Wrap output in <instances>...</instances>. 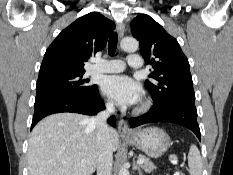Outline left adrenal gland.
Instances as JSON below:
<instances>
[{
	"label": "left adrenal gland",
	"mask_w": 233,
	"mask_h": 175,
	"mask_svg": "<svg viewBox=\"0 0 233 175\" xmlns=\"http://www.w3.org/2000/svg\"><path fill=\"white\" fill-rule=\"evenodd\" d=\"M133 170H137L139 175H143L142 169L140 166L134 163Z\"/></svg>",
	"instance_id": "left-adrenal-gland-1"
}]
</instances>
